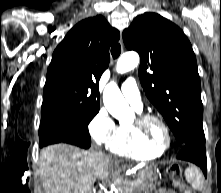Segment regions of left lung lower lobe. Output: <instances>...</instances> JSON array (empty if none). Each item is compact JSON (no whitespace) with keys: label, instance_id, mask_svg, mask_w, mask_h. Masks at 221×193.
Returning a JSON list of instances; mask_svg holds the SVG:
<instances>
[{"label":"left lung lower lobe","instance_id":"0a47b994","mask_svg":"<svg viewBox=\"0 0 221 193\" xmlns=\"http://www.w3.org/2000/svg\"><path fill=\"white\" fill-rule=\"evenodd\" d=\"M177 158L196 164L202 169L204 175H207L205 138L183 145L181 151L177 155Z\"/></svg>","mask_w":221,"mask_h":193}]
</instances>
